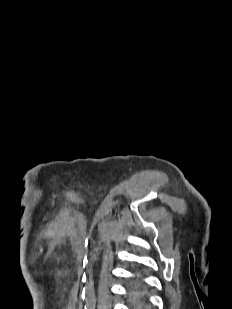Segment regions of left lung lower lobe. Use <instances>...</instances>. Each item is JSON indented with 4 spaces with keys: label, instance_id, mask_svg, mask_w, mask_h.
<instances>
[{
    "label": "left lung lower lobe",
    "instance_id": "obj_1",
    "mask_svg": "<svg viewBox=\"0 0 232 309\" xmlns=\"http://www.w3.org/2000/svg\"><path fill=\"white\" fill-rule=\"evenodd\" d=\"M130 292L133 296V306L136 309L145 308L148 304L147 294L139 279L131 286Z\"/></svg>",
    "mask_w": 232,
    "mask_h": 309
}]
</instances>
